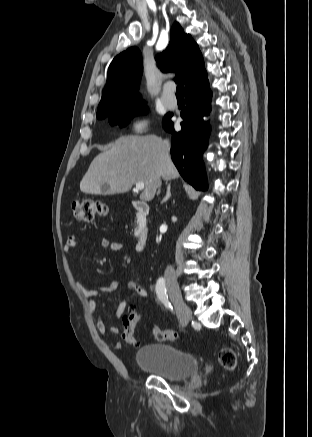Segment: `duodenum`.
Segmentation results:
<instances>
[{"instance_id": "1", "label": "duodenum", "mask_w": 312, "mask_h": 437, "mask_svg": "<svg viewBox=\"0 0 312 437\" xmlns=\"http://www.w3.org/2000/svg\"><path fill=\"white\" fill-rule=\"evenodd\" d=\"M133 208L136 212V224L140 228V233L137 237L135 248L137 252H143L147 247L148 237L141 228L149 214V206L146 202L134 200Z\"/></svg>"}]
</instances>
